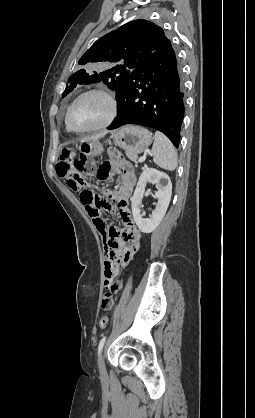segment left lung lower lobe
Listing matches in <instances>:
<instances>
[{"label":"left lung lower lobe","mask_w":255,"mask_h":418,"mask_svg":"<svg viewBox=\"0 0 255 418\" xmlns=\"http://www.w3.org/2000/svg\"><path fill=\"white\" fill-rule=\"evenodd\" d=\"M183 98L181 68L169 41L129 74L116 94L118 114L108 129L125 124L151 127L178 147Z\"/></svg>","instance_id":"1"}]
</instances>
